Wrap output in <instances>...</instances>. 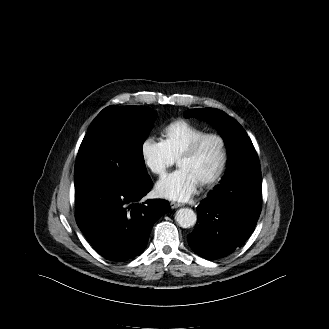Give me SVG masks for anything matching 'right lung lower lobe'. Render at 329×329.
<instances>
[{
    "instance_id": "98d812e1",
    "label": "right lung lower lobe",
    "mask_w": 329,
    "mask_h": 329,
    "mask_svg": "<svg viewBox=\"0 0 329 329\" xmlns=\"http://www.w3.org/2000/svg\"><path fill=\"white\" fill-rule=\"evenodd\" d=\"M151 178L138 188L93 181L75 189L76 222L104 258L126 261L143 252L153 224L169 212L162 199L137 203L152 188Z\"/></svg>"
}]
</instances>
